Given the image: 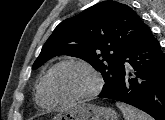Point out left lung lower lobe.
Masks as SVG:
<instances>
[{
	"label": "left lung lower lobe",
	"mask_w": 165,
	"mask_h": 120,
	"mask_svg": "<svg viewBox=\"0 0 165 120\" xmlns=\"http://www.w3.org/2000/svg\"><path fill=\"white\" fill-rule=\"evenodd\" d=\"M99 97L130 104L165 120V55L146 26L126 50L119 85Z\"/></svg>",
	"instance_id": "1"
}]
</instances>
